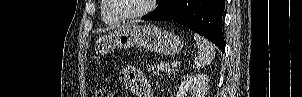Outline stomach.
Returning <instances> with one entry per match:
<instances>
[{
    "instance_id": "obj_1",
    "label": "stomach",
    "mask_w": 302,
    "mask_h": 97,
    "mask_svg": "<svg viewBox=\"0 0 302 97\" xmlns=\"http://www.w3.org/2000/svg\"><path fill=\"white\" fill-rule=\"evenodd\" d=\"M133 46L173 56L183 49V41L176 34L155 25L137 24L125 25L108 37H99L95 41L96 52L100 55H106L116 47Z\"/></svg>"
}]
</instances>
